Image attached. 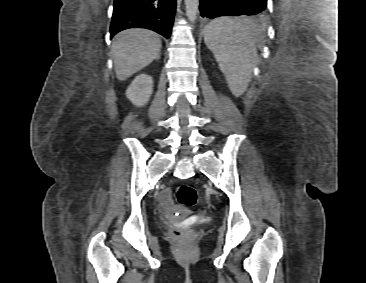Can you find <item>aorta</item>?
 <instances>
[{
	"mask_svg": "<svg viewBox=\"0 0 366 283\" xmlns=\"http://www.w3.org/2000/svg\"><path fill=\"white\" fill-rule=\"evenodd\" d=\"M186 8V16L191 23L197 18L199 0H184Z\"/></svg>",
	"mask_w": 366,
	"mask_h": 283,
	"instance_id": "762f6f07",
	"label": "aorta"
}]
</instances>
